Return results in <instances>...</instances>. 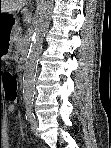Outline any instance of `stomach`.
<instances>
[{
    "label": "stomach",
    "mask_w": 111,
    "mask_h": 148,
    "mask_svg": "<svg viewBox=\"0 0 111 148\" xmlns=\"http://www.w3.org/2000/svg\"><path fill=\"white\" fill-rule=\"evenodd\" d=\"M18 19L14 12L0 13V60L10 57L13 46V33Z\"/></svg>",
    "instance_id": "1"
}]
</instances>
